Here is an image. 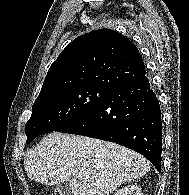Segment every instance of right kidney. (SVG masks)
<instances>
[{"label":"right kidney","mask_w":189,"mask_h":195,"mask_svg":"<svg viewBox=\"0 0 189 195\" xmlns=\"http://www.w3.org/2000/svg\"><path fill=\"white\" fill-rule=\"evenodd\" d=\"M114 195H142V193L137 185H128L118 190Z\"/></svg>","instance_id":"ca27d5eb"}]
</instances>
